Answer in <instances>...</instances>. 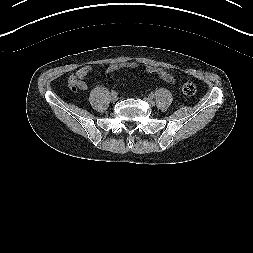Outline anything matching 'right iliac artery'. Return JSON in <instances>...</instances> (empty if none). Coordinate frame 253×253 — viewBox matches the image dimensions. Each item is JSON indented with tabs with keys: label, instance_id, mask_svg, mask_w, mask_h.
Masks as SVG:
<instances>
[{
	"label": "right iliac artery",
	"instance_id": "right-iliac-artery-1",
	"mask_svg": "<svg viewBox=\"0 0 253 253\" xmlns=\"http://www.w3.org/2000/svg\"><path fill=\"white\" fill-rule=\"evenodd\" d=\"M110 94L114 95V94H117V92L115 90H112Z\"/></svg>",
	"mask_w": 253,
	"mask_h": 253
}]
</instances>
